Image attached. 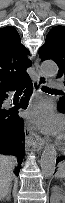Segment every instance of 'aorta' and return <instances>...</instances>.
Segmentation results:
<instances>
[{
	"mask_svg": "<svg viewBox=\"0 0 65 203\" xmlns=\"http://www.w3.org/2000/svg\"><path fill=\"white\" fill-rule=\"evenodd\" d=\"M41 72L45 77H54L58 73V66L54 61L47 60L41 64ZM57 151L53 144L47 143L40 159L41 172L44 177H51L56 169Z\"/></svg>",
	"mask_w": 65,
	"mask_h": 203,
	"instance_id": "762f6f07",
	"label": "aorta"
}]
</instances>
